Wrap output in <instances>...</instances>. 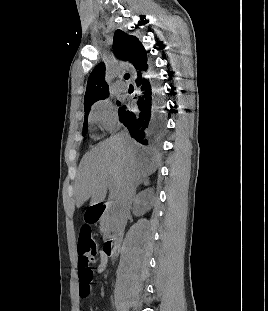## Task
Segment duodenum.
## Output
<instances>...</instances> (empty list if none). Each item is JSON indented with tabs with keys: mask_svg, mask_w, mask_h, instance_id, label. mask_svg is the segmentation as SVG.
<instances>
[{
	"mask_svg": "<svg viewBox=\"0 0 268 311\" xmlns=\"http://www.w3.org/2000/svg\"><path fill=\"white\" fill-rule=\"evenodd\" d=\"M108 208L107 202L96 203L89 208L88 216L92 223H97L104 215L105 211ZM118 247V239L115 236L109 237L104 244V252L107 256H111L116 252Z\"/></svg>",
	"mask_w": 268,
	"mask_h": 311,
	"instance_id": "410a0bca",
	"label": "duodenum"
}]
</instances>
